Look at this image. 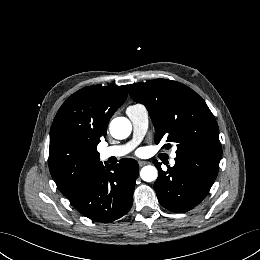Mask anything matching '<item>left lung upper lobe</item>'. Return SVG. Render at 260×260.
<instances>
[{
	"instance_id": "left-lung-upper-lobe-1",
	"label": "left lung upper lobe",
	"mask_w": 260,
	"mask_h": 260,
	"mask_svg": "<svg viewBox=\"0 0 260 260\" xmlns=\"http://www.w3.org/2000/svg\"><path fill=\"white\" fill-rule=\"evenodd\" d=\"M129 94L148 109L156 144L166 139L176 143V154L222 156L216 120L205 101L192 89L176 81L155 79L129 85Z\"/></svg>"
}]
</instances>
